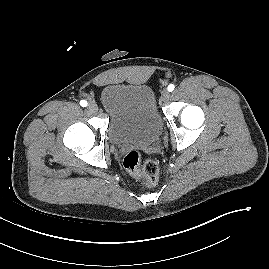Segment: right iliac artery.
Listing matches in <instances>:
<instances>
[{
    "label": "right iliac artery",
    "mask_w": 269,
    "mask_h": 269,
    "mask_svg": "<svg viewBox=\"0 0 269 269\" xmlns=\"http://www.w3.org/2000/svg\"><path fill=\"white\" fill-rule=\"evenodd\" d=\"M80 105H81L82 107H86V106H87V101H85V100H81V101H80Z\"/></svg>",
    "instance_id": "82829eb1"
}]
</instances>
